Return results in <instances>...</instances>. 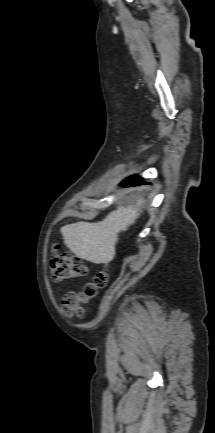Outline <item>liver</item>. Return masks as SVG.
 I'll list each match as a JSON object with an SVG mask.
<instances>
[{
	"instance_id": "obj_1",
	"label": "liver",
	"mask_w": 215,
	"mask_h": 433,
	"mask_svg": "<svg viewBox=\"0 0 215 433\" xmlns=\"http://www.w3.org/2000/svg\"><path fill=\"white\" fill-rule=\"evenodd\" d=\"M143 203V198L135 205L121 203L103 221L77 222L62 227L60 230L66 246L80 259L95 264L111 262L115 257L118 234L135 223Z\"/></svg>"
}]
</instances>
